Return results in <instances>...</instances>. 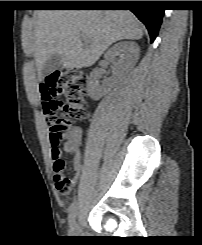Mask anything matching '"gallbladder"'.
Listing matches in <instances>:
<instances>
[{
	"instance_id": "1",
	"label": "gallbladder",
	"mask_w": 202,
	"mask_h": 245,
	"mask_svg": "<svg viewBox=\"0 0 202 245\" xmlns=\"http://www.w3.org/2000/svg\"><path fill=\"white\" fill-rule=\"evenodd\" d=\"M62 64V57L58 53L52 54L47 61L45 62L42 70V74L44 76H47L51 74L52 72L56 71L60 68Z\"/></svg>"
}]
</instances>
